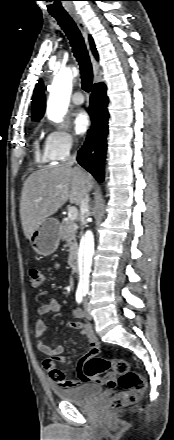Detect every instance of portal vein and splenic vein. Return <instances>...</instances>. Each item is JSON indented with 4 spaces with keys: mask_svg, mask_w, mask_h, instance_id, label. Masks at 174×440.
<instances>
[{
    "mask_svg": "<svg viewBox=\"0 0 174 440\" xmlns=\"http://www.w3.org/2000/svg\"><path fill=\"white\" fill-rule=\"evenodd\" d=\"M78 216V210L75 206L68 208V219L74 221Z\"/></svg>",
    "mask_w": 174,
    "mask_h": 440,
    "instance_id": "obj_1",
    "label": "portal vein and splenic vein"
}]
</instances>
